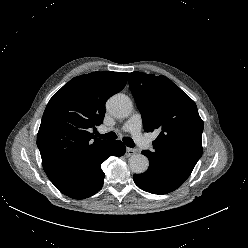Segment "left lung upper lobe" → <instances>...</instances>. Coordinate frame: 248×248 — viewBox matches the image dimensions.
Returning a JSON list of instances; mask_svg holds the SVG:
<instances>
[{
	"label": "left lung upper lobe",
	"mask_w": 248,
	"mask_h": 248,
	"mask_svg": "<svg viewBox=\"0 0 248 248\" xmlns=\"http://www.w3.org/2000/svg\"><path fill=\"white\" fill-rule=\"evenodd\" d=\"M129 87L144 130L160 132L152 142L154 149L143 151L144 155L183 183L203 152L204 123L195 102L163 75L132 72Z\"/></svg>",
	"instance_id": "5c2ea615"
}]
</instances>
